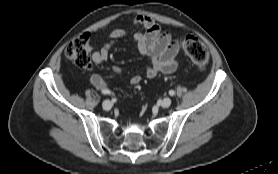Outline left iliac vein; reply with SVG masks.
Instances as JSON below:
<instances>
[{
	"label": "left iliac vein",
	"instance_id": "left-iliac-vein-1",
	"mask_svg": "<svg viewBox=\"0 0 278 174\" xmlns=\"http://www.w3.org/2000/svg\"><path fill=\"white\" fill-rule=\"evenodd\" d=\"M171 105V99L169 97H166L162 100L161 106L163 108H168Z\"/></svg>",
	"mask_w": 278,
	"mask_h": 174
}]
</instances>
